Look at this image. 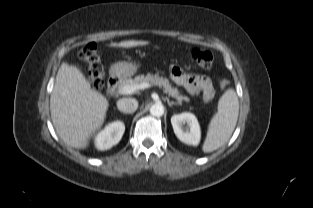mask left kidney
<instances>
[{"label":"left kidney","instance_id":"5707ae66","mask_svg":"<svg viewBox=\"0 0 313 208\" xmlns=\"http://www.w3.org/2000/svg\"><path fill=\"white\" fill-rule=\"evenodd\" d=\"M171 124L177 138L185 144L197 146L200 142L201 131L196 116L183 112L171 117ZM187 124V126H184Z\"/></svg>","mask_w":313,"mask_h":208}]
</instances>
